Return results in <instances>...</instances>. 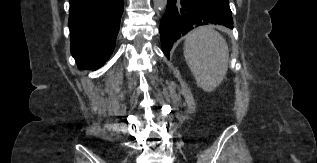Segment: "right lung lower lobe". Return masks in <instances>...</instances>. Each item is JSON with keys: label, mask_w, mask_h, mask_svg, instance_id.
<instances>
[{"label": "right lung lower lobe", "mask_w": 317, "mask_h": 163, "mask_svg": "<svg viewBox=\"0 0 317 163\" xmlns=\"http://www.w3.org/2000/svg\"><path fill=\"white\" fill-rule=\"evenodd\" d=\"M124 0H70L71 54L80 68L97 70L112 54Z\"/></svg>", "instance_id": "obj_1"}]
</instances>
